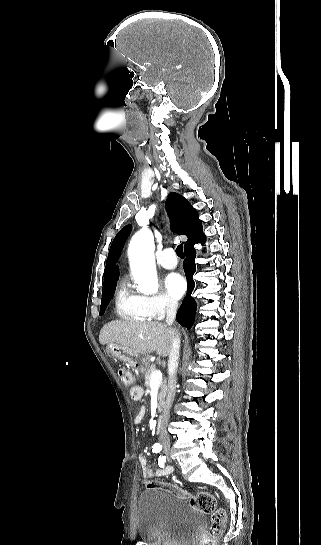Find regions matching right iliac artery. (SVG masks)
Segmentation results:
<instances>
[{
    "mask_svg": "<svg viewBox=\"0 0 321 545\" xmlns=\"http://www.w3.org/2000/svg\"><path fill=\"white\" fill-rule=\"evenodd\" d=\"M161 449H162V448H161V445L158 444V443L154 444L153 447H152V451L155 452V453L160 452Z\"/></svg>",
    "mask_w": 321,
    "mask_h": 545,
    "instance_id": "obj_1",
    "label": "right iliac artery"
}]
</instances>
